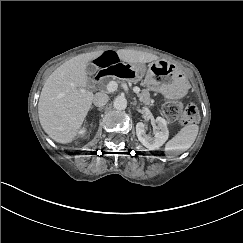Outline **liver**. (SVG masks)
Segmentation results:
<instances>
[{
	"label": "liver",
	"mask_w": 243,
	"mask_h": 243,
	"mask_svg": "<svg viewBox=\"0 0 243 243\" xmlns=\"http://www.w3.org/2000/svg\"><path fill=\"white\" fill-rule=\"evenodd\" d=\"M103 51L75 56L59 66L46 80L38 103V114L43 130L59 143H70L79 134L91 108L94 94L84 90L87 85V64ZM121 61L137 64L158 60V56L132 49H119Z\"/></svg>",
	"instance_id": "obj_1"
}]
</instances>
